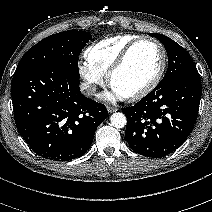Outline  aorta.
<instances>
[{"label": "aorta", "instance_id": "1", "mask_svg": "<svg viewBox=\"0 0 212 212\" xmlns=\"http://www.w3.org/2000/svg\"><path fill=\"white\" fill-rule=\"evenodd\" d=\"M110 122L115 128H123L127 123V119L123 113L117 112L111 115Z\"/></svg>", "mask_w": 212, "mask_h": 212}]
</instances>
